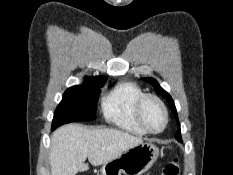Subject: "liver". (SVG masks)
<instances>
[{
	"label": "liver",
	"mask_w": 233,
	"mask_h": 175,
	"mask_svg": "<svg viewBox=\"0 0 233 175\" xmlns=\"http://www.w3.org/2000/svg\"><path fill=\"white\" fill-rule=\"evenodd\" d=\"M142 142V137L117 129L61 126L51 136V175H76L89 169L87 158L93 166H99Z\"/></svg>",
	"instance_id": "1"
}]
</instances>
